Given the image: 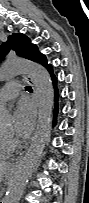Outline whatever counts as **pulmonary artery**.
I'll return each instance as SVG.
<instances>
[{"label":"pulmonary artery","mask_w":89,"mask_h":203,"mask_svg":"<svg viewBox=\"0 0 89 203\" xmlns=\"http://www.w3.org/2000/svg\"><path fill=\"white\" fill-rule=\"evenodd\" d=\"M20 84L18 82H10L0 92L1 105H4L7 101L14 99L18 96L20 91Z\"/></svg>","instance_id":"pulmonary-artery-1"}]
</instances>
